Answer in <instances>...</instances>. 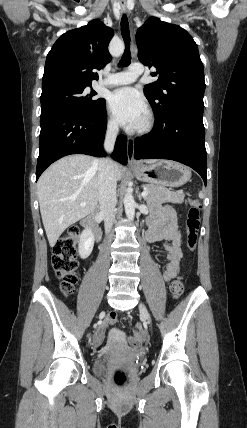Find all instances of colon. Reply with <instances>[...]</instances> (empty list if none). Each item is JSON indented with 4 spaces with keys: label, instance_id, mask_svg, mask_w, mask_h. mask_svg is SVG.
I'll return each instance as SVG.
<instances>
[{
    "label": "colon",
    "instance_id": "colon-1",
    "mask_svg": "<svg viewBox=\"0 0 247 428\" xmlns=\"http://www.w3.org/2000/svg\"><path fill=\"white\" fill-rule=\"evenodd\" d=\"M200 202L191 198L189 200V208L186 215L185 232H186V247L189 251L196 248L197 235L200 226ZM80 229L73 227L70 234L56 244L52 254V266L56 276L60 280V287L65 295L73 293L75 284L77 282V242L79 240ZM170 292L172 296L177 299L184 292V283L181 277L175 278L170 284ZM117 321V315L110 313L105 323L112 325ZM142 331L136 329L134 335L130 338V344L133 347H139L141 344ZM126 376L124 373H117L115 376V383L118 386L124 385Z\"/></svg>",
    "mask_w": 247,
    "mask_h": 428
}]
</instances>
